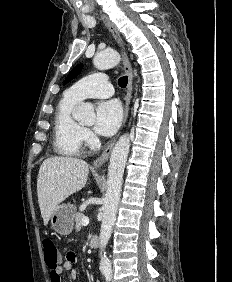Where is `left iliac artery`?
Returning <instances> with one entry per match:
<instances>
[{
	"label": "left iliac artery",
	"mask_w": 232,
	"mask_h": 282,
	"mask_svg": "<svg viewBox=\"0 0 232 282\" xmlns=\"http://www.w3.org/2000/svg\"><path fill=\"white\" fill-rule=\"evenodd\" d=\"M105 279H106V282H111V279H112L111 273H105Z\"/></svg>",
	"instance_id": "left-iliac-artery-1"
}]
</instances>
